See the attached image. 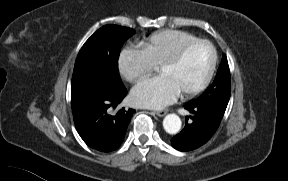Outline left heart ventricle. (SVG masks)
Listing matches in <instances>:
<instances>
[{
	"mask_svg": "<svg viewBox=\"0 0 288 181\" xmlns=\"http://www.w3.org/2000/svg\"><path fill=\"white\" fill-rule=\"evenodd\" d=\"M212 61V49L206 44H200L189 50L178 64L161 67L158 72L167 77L181 93L203 81Z\"/></svg>",
	"mask_w": 288,
	"mask_h": 181,
	"instance_id": "1",
	"label": "left heart ventricle"
}]
</instances>
